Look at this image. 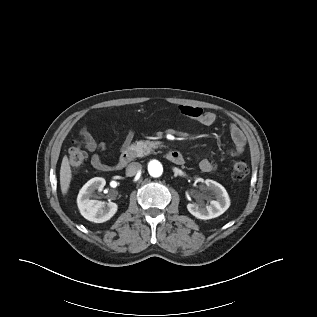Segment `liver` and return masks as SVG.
Masks as SVG:
<instances>
[{
    "label": "liver",
    "instance_id": "obj_1",
    "mask_svg": "<svg viewBox=\"0 0 317 317\" xmlns=\"http://www.w3.org/2000/svg\"><path fill=\"white\" fill-rule=\"evenodd\" d=\"M71 178L72 172L69 165V160L67 156H64L60 168V186L63 195H65L69 189Z\"/></svg>",
    "mask_w": 317,
    "mask_h": 317
}]
</instances>
